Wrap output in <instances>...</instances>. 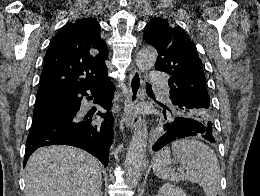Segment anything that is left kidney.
<instances>
[{"instance_id": "1", "label": "left kidney", "mask_w": 260, "mask_h": 196, "mask_svg": "<svg viewBox=\"0 0 260 196\" xmlns=\"http://www.w3.org/2000/svg\"><path fill=\"white\" fill-rule=\"evenodd\" d=\"M157 196H186V194L181 190V188H178V186H173V184H163Z\"/></svg>"}]
</instances>
